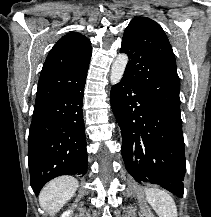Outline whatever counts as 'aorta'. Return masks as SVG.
<instances>
[{
    "label": "aorta",
    "instance_id": "762f6f07",
    "mask_svg": "<svg viewBox=\"0 0 211 217\" xmlns=\"http://www.w3.org/2000/svg\"><path fill=\"white\" fill-rule=\"evenodd\" d=\"M128 61L129 59L126 54H119L117 56L111 67L110 81L112 85L120 82V80L123 77Z\"/></svg>",
    "mask_w": 211,
    "mask_h": 217
}]
</instances>
